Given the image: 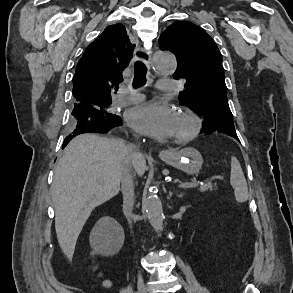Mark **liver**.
Returning <instances> with one entry per match:
<instances>
[{"mask_svg": "<svg viewBox=\"0 0 293 293\" xmlns=\"http://www.w3.org/2000/svg\"><path fill=\"white\" fill-rule=\"evenodd\" d=\"M128 154L121 140L81 134L58 161L51 195L57 239L69 259L91 212L119 193L120 171ZM133 168L139 176L144 174L146 161L141 154Z\"/></svg>", "mask_w": 293, "mask_h": 293, "instance_id": "1", "label": "liver"}]
</instances>
